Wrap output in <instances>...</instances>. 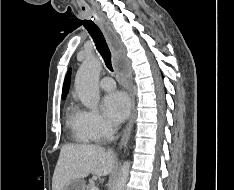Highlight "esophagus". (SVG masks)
Here are the masks:
<instances>
[{"instance_id": "34e87169", "label": "esophagus", "mask_w": 234, "mask_h": 190, "mask_svg": "<svg viewBox=\"0 0 234 190\" xmlns=\"http://www.w3.org/2000/svg\"><path fill=\"white\" fill-rule=\"evenodd\" d=\"M100 26L113 50L114 53H116V50L119 47L118 39L113 30L104 22H100ZM128 82H129V92L131 96V113L129 121L124 129L121 141H120V147L125 146L130 138V134L133 128L134 123V115H135V94L133 91L131 76H128Z\"/></svg>"}]
</instances>
